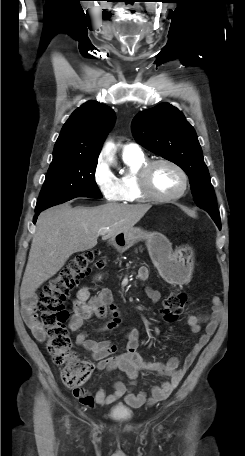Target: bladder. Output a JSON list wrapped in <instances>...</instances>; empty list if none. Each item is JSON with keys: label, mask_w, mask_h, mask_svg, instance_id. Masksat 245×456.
<instances>
[{"label": "bladder", "mask_w": 245, "mask_h": 456, "mask_svg": "<svg viewBox=\"0 0 245 456\" xmlns=\"http://www.w3.org/2000/svg\"><path fill=\"white\" fill-rule=\"evenodd\" d=\"M109 415L113 420L127 421L131 417V411L123 405H117L110 410Z\"/></svg>", "instance_id": "bladder-1"}]
</instances>
